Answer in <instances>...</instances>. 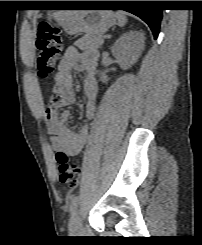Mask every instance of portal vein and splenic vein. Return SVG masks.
I'll use <instances>...</instances> for the list:
<instances>
[{"label":"portal vein and splenic vein","instance_id":"obj_1","mask_svg":"<svg viewBox=\"0 0 202 245\" xmlns=\"http://www.w3.org/2000/svg\"><path fill=\"white\" fill-rule=\"evenodd\" d=\"M100 42L103 44L104 43V39L103 38H100Z\"/></svg>","mask_w":202,"mask_h":245}]
</instances>
